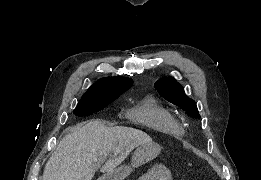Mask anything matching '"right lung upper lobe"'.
<instances>
[{
	"label": "right lung upper lobe",
	"mask_w": 261,
	"mask_h": 180,
	"mask_svg": "<svg viewBox=\"0 0 261 180\" xmlns=\"http://www.w3.org/2000/svg\"><path fill=\"white\" fill-rule=\"evenodd\" d=\"M132 80L122 77H108L100 79L83 95L85 97L119 96L128 90Z\"/></svg>",
	"instance_id": "right-lung-upper-lobe-1"
}]
</instances>
